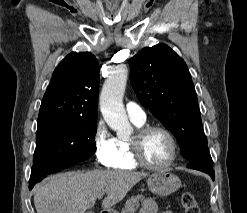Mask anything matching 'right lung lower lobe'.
<instances>
[{
	"label": "right lung lower lobe",
	"instance_id": "obj_1",
	"mask_svg": "<svg viewBox=\"0 0 247 213\" xmlns=\"http://www.w3.org/2000/svg\"><path fill=\"white\" fill-rule=\"evenodd\" d=\"M37 182H39V181H37V180H30V185H29V189L31 190L32 188H33V186H34V184H36Z\"/></svg>",
	"mask_w": 247,
	"mask_h": 213
}]
</instances>
